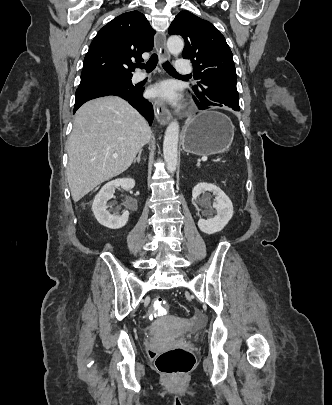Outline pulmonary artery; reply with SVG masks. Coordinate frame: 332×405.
<instances>
[{
  "label": "pulmonary artery",
  "instance_id": "obj_1",
  "mask_svg": "<svg viewBox=\"0 0 332 405\" xmlns=\"http://www.w3.org/2000/svg\"><path fill=\"white\" fill-rule=\"evenodd\" d=\"M176 69H177L178 73H180L182 75H187V74L191 73V67L185 59H179L176 62ZM146 77H147L146 74L138 73V74L134 75L133 81L138 82V81L145 79Z\"/></svg>",
  "mask_w": 332,
  "mask_h": 405
}]
</instances>
